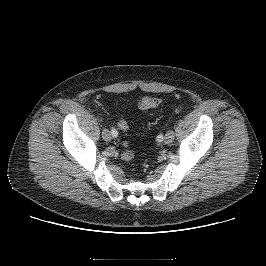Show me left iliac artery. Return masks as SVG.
I'll list each match as a JSON object with an SVG mask.
<instances>
[{
  "mask_svg": "<svg viewBox=\"0 0 266 266\" xmlns=\"http://www.w3.org/2000/svg\"><path fill=\"white\" fill-rule=\"evenodd\" d=\"M157 139H158V142L159 143H162L163 142V136H162V134H160Z\"/></svg>",
  "mask_w": 266,
  "mask_h": 266,
  "instance_id": "obj_1",
  "label": "left iliac artery"
}]
</instances>
